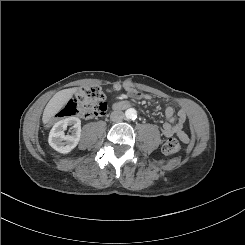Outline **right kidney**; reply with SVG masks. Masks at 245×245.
Segmentation results:
<instances>
[{"label":"right kidney","instance_id":"1","mask_svg":"<svg viewBox=\"0 0 245 245\" xmlns=\"http://www.w3.org/2000/svg\"><path fill=\"white\" fill-rule=\"evenodd\" d=\"M67 126H72L71 134L65 135ZM81 137V120L78 117H68L58 121L52 127L48 142L56 151L62 154L71 152L79 143Z\"/></svg>","mask_w":245,"mask_h":245}]
</instances>
